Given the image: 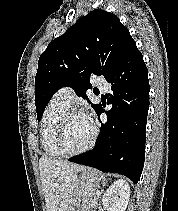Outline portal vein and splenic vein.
Returning <instances> with one entry per match:
<instances>
[{
	"mask_svg": "<svg viewBox=\"0 0 178 211\" xmlns=\"http://www.w3.org/2000/svg\"><path fill=\"white\" fill-rule=\"evenodd\" d=\"M96 195H97V196H99V195H100V192H99V191H97V192H96Z\"/></svg>",
	"mask_w": 178,
	"mask_h": 211,
	"instance_id": "1",
	"label": "portal vein and splenic vein"
}]
</instances>
